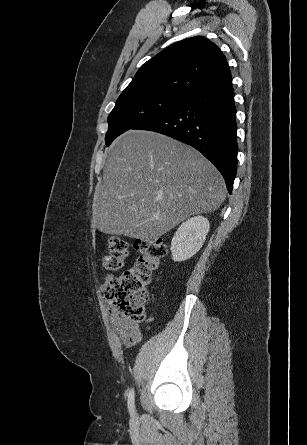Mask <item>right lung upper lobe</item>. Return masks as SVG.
I'll return each mask as SVG.
<instances>
[{"label":"right lung upper lobe","instance_id":"1","mask_svg":"<svg viewBox=\"0 0 307 445\" xmlns=\"http://www.w3.org/2000/svg\"><path fill=\"white\" fill-rule=\"evenodd\" d=\"M225 56L196 36L174 43L145 62L123 95L160 94L187 98L229 77Z\"/></svg>","mask_w":307,"mask_h":445}]
</instances>
